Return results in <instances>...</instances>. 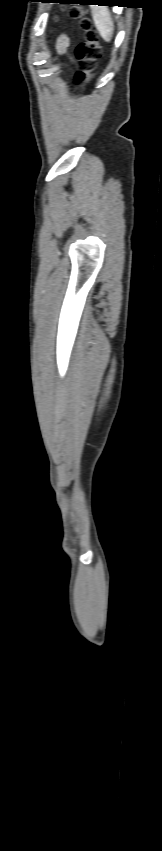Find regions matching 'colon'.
Masks as SVG:
<instances>
[{
	"label": "colon",
	"mask_w": 162,
	"mask_h": 851,
	"mask_svg": "<svg viewBox=\"0 0 162 851\" xmlns=\"http://www.w3.org/2000/svg\"><path fill=\"white\" fill-rule=\"evenodd\" d=\"M69 15L71 18L79 20L80 27L84 32V40L75 49V55L80 63V71L76 75V84L78 90H82L93 77L97 60L101 56L100 39L91 19L85 15L82 8L71 7Z\"/></svg>",
	"instance_id": "obj_1"
}]
</instances>
